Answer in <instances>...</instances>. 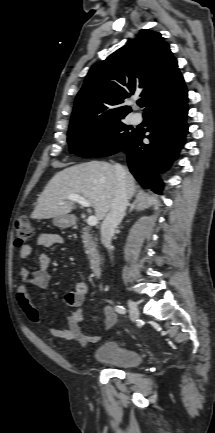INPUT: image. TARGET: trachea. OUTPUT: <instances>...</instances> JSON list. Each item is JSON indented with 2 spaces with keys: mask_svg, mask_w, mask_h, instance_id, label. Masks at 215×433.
<instances>
[{
  "mask_svg": "<svg viewBox=\"0 0 215 433\" xmlns=\"http://www.w3.org/2000/svg\"><path fill=\"white\" fill-rule=\"evenodd\" d=\"M137 104H138V106L143 107V100H138Z\"/></svg>",
  "mask_w": 215,
  "mask_h": 433,
  "instance_id": "obj_1",
  "label": "trachea"
}]
</instances>
